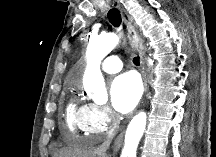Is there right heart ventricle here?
Wrapping results in <instances>:
<instances>
[{"label": "right heart ventricle", "instance_id": "right-heart-ventricle-1", "mask_svg": "<svg viewBox=\"0 0 216 157\" xmlns=\"http://www.w3.org/2000/svg\"><path fill=\"white\" fill-rule=\"evenodd\" d=\"M87 106L86 104L78 102L76 99H72L69 102L66 109V124L72 133L78 134L79 130H83L82 120Z\"/></svg>", "mask_w": 216, "mask_h": 157}]
</instances>
